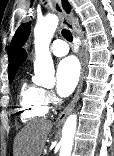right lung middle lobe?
Here are the masks:
<instances>
[{"label": "right lung middle lobe", "mask_w": 114, "mask_h": 156, "mask_svg": "<svg viewBox=\"0 0 114 156\" xmlns=\"http://www.w3.org/2000/svg\"><path fill=\"white\" fill-rule=\"evenodd\" d=\"M13 78H14V76H13V77H9V82H10V83H12Z\"/></svg>", "instance_id": "right-lung-middle-lobe-1"}]
</instances>
